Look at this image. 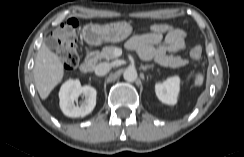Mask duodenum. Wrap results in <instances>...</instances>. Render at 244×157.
Returning <instances> with one entry per match:
<instances>
[{
    "mask_svg": "<svg viewBox=\"0 0 244 157\" xmlns=\"http://www.w3.org/2000/svg\"><path fill=\"white\" fill-rule=\"evenodd\" d=\"M98 60V52L96 50H91L87 53L86 59L81 65V71L83 73H90L93 71Z\"/></svg>",
    "mask_w": 244,
    "mask_h": 157,
    "instance_id": "1",
    "label": "duodenum"
}]
</instances>
